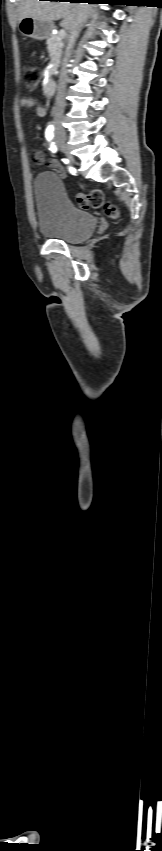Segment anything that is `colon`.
Masks as SVG:
<instances>
[{"label":"colon","mask_w":162,"mask_h":851,"mask_svg":"<svg viewBox=\"0 0 162 851\" xmlns=\"http://www.w3.org/2000/svg\"><path fill=\"white\" fill-rule=\"evenodd\" d=\"M26 88L29 91H34L39 82V72L35 68H28L24 72ZM76 202L81 209H99L105 208L108 215L113 218L118 216L117 210L110 204L105 202V196L102 190L95 189L88 194L78 195Z\"/></svg>","instance_id":"1"}]
</instances>
